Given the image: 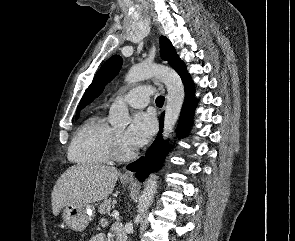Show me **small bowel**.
<instances>
[{
    "mask_svg": "<svg viewBox=\"0 0 295 241\" xmlns=\"http://www.w3.org/2000/svg\"><path fill=\"white\" fill-rule=\"evenodd\" d=\"M115 234H122L123 229L120 225H115L114 227ZM89 241H105V236L102 233L94 235Z\"/></svg>",
    "mask_w": 295,
    "mask_h": 241,
    "instance_id": "obj_1",
    "label": "small bowel"
}]
</instances>
